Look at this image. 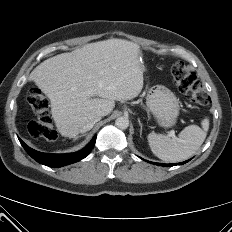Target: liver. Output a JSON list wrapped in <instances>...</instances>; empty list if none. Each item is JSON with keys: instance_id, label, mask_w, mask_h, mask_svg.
<instances>
[{"instance_id": "liver-1", "label": "liver", "mask_w": 232, "mask_h": 232, "mask_svg": "<svg viewBox=\"0 0 232 232\" xmlns=\"http://www.w3.org/2000/svg\"><path fill=\"white\" fill-rule=\"evenodd\" d=\"M143 71L138 44L108 39L43 61L29 80L50 99L60 134L74 138L90 115L106 116L115 101L137 97L143 88Z\"/></svg>"}]
</instances>
